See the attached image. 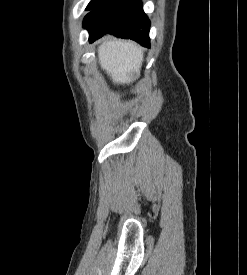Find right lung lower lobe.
Instances as JSON below:
<instances>
[{
  "label": "right lung lower lobe",
  "instance_id": "obj_1",
  "mask_svg": "<svg viewBox=\"0 0 247 275\" xmlns=\"http://www.w3.org/2000/svg\"><path fill=\"white\" fill-rule=\"evenodd\" d=\"M83 25L89 31L90 42L112 34L144 47L150 45V21L140 0H108L88 13Z\"/></svg>",
  "mask_w": 247,
  "mask_h": 275
}]
</instances>
